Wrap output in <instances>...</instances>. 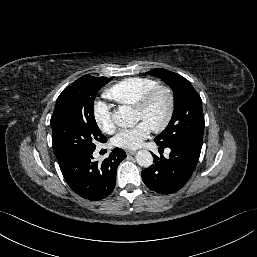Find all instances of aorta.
I'll list each match as a JSON object with an SVG mask.
<instances>
[{
  "label": "aorta",
  "mask_w": 257,
  "mask_h": 257,
  "mask_svg": "<svg viewBox=\"0 0 257 257\" xmlns=\"http://www.w3.org/2000/svg\"><path fill=\"white\" fill-rule=\"evenodd\" d=\"M114 123L123 128L132 127L137 123V118L131 107L122 106L112 114ZM136 161L141 167H150L153 164V156L147 150H139L136 154Z\"/></svg>",
  "instance_id": "1"
}]
</instances>
